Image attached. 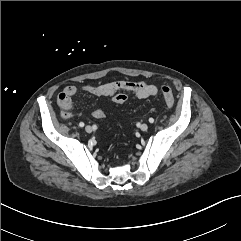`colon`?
Instances as JSON below:
<instances>
[{
  "label": "colon",
  "mask_w": 241,
  "mask_h": 241,
  "mask_svg": "<svg viewBox=\"0 0 241 241\" xmlns=\"http://www.w3.org/2000/svg\"><path fill=\"white\" fill-rule=\"evenodd\" d=\"M161 92H162V96L165 101V104L168 107H172L174 105L175 99L171 89L168 86L163 85L161 86ZM126 100H127V96L124 93H118L113 97V101L118 104H122Z\"/></svg>",
  "instance_id": "5ec220e1"
}]
</instances>
